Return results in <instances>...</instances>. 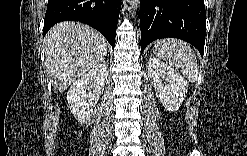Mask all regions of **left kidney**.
Here are the masks:
<instances>
[{"mask_svg": "<svg viewBox=\"0 0 247 156\" xmlns=\"http://www.w3.org/2000/svg\"><path fill=\"white\" fill-rule=\"evenodd\" d=\"M147 76L156 96L168 111H177L187 93L188 82L163 61L150 57L146 63Z\"/></svg>", "mask_w": 247, "mask_h": 156, "instance_id": "5707ae66", "label": "left kidney"}]
</instances>
